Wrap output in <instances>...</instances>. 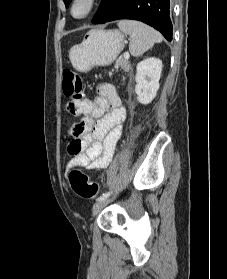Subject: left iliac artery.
<instances>
[{"label":"left iliac artery","mask_w":227,"mask_h":279,"mask_svg":"<svg viewBox=\"0 0 227 279\" xmlns=\"http://www.w3.org/2000/svg\"><path fill=\"white\" fill-rule=\"evenodd\" d=\"M111 193L112 192L110 191V192H107L105 194H102L99 198H97V201H100V200H102L104 198H107Z\"/></svg>","instance_id":"1"}]
</instances>
